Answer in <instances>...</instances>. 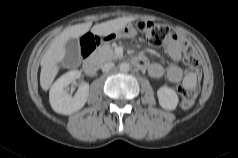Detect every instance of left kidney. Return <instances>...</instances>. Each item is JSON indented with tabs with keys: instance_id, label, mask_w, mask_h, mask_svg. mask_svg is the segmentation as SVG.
<instances>
[{
	"instance_id": "obj_1",
	"label": "left kidney",
	"mask_w": 238,
	"mask_h": 158,
	"mask_svg": "<svg viewBox=\"0 0 238 158\" xmlns=\"http://www.w3.org/2000/svg\"><path fill=\"white\" fill-rule=\"evenodd\" d=\"M157 96L159 100V104L162 108L166 110H175L179 98L177 93L170 87L162 86L157 91Z\"/></svg>"
}]
</instances>
